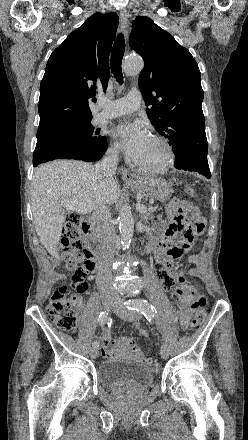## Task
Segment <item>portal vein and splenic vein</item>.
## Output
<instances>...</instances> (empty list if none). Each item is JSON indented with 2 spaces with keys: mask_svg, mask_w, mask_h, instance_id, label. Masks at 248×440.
<instances>
[{
  "mask_svg": "<svg viewBox=\"0 0 248 440\" xmlns=\"http://www.w3.org/2000/svg\"><path fill=\"white\" fill-rule=\"evenodd\" d=\"M61 205L66 210L76 211L77 213H80V214H87V213L91 212V210L85 204H81L76 200L65 199V200L61 201ZM136 209L140 213H143L146 211V207L140 203L136 204Z\"/></svg>",
  "mask_w": 248,
  "mask_h": 440,
  "instance_id": "obj_1",
  "label": "portal vein and splenic vein"
}]
</instances>
